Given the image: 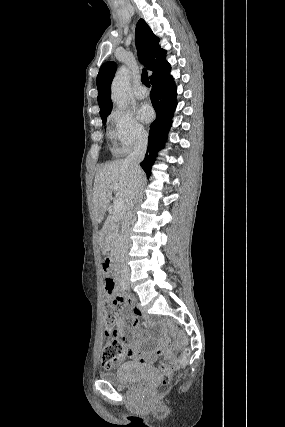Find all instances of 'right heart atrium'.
<instances>
[{
  "label": "right heart atrium",
  "mask_w": 285,
  "mask_h": 427,
  "mask_svg": "<svg viewBox=\"0 0 285 427\" xmlns=\"http://www.w3.org/2000/svg\"><path fill=\"white\" fill-rule=\"evenodd\" d=\"M109 121L112 124L110 136L116 142V152L126 153L146 141V131L128 110L115 109Z\"/></svg>",
  "instance_id": "obj_1"
}]
</instances>
